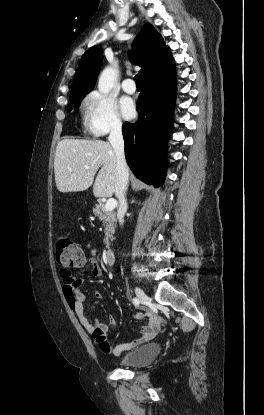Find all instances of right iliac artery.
I'll use <instances>...</instances> for the list:
<instances>
[{
	"label": "right iliac artery",
	"mask_w": 264,
	"mask_h": 415,
	"mask_svg": "<svg viewBox=\"0 0 264 415\" xmlns=\"http://www.w3.org/2000/svg\"><path fill=\"white\" fill-rule=\"evenodd\" d=\"M133 303H134L136 306H138V305H139V300H138L137 298H134V299H133Z\"/></svg>",
	"instance_id": "obj_1"
}]
</instances>
